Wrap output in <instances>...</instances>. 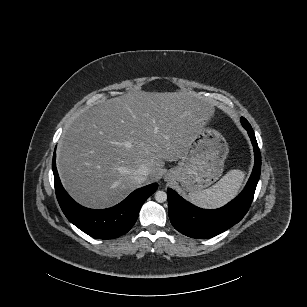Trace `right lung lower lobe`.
<instances>
[{
  "mask_svg": "<svg viewBox=\"0 0 307 307\" xmlns=\"http://www.w3.org/2000/svg\"><path fill=\"white\" fill-rule=\"evenodd\" d=\"M54 152L52 169L59 205L68 220L86 234L99 239H112L128 232L135 224L141 206L158 188L153 183L132 192L118 205L104 210L85 208L64 190L56 169Z\"/></svg>",
  "mask_w": 307,
  "mask_h": 307,
  "instance_id": "obj_1",
  "label": "right lung lower lobe"
}]
</instances>
